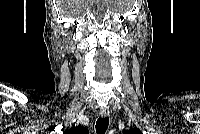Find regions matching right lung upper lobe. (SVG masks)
Returning a JSON list of instances; mask_svg holds the SVG:
<instances>
[{
    "instance_id": "right-lung-upper-lobe-1",
    "label": "right lung upper lobe",
    "mask_w": 200,
    "mask_h": 134,
    "mask_svg": "<svg viewBox=\"0 0 200 134\" xmlns=\"http://www.w3.org/2000/svg\"><path fill=\"white\" fill-rule=\"evenodd\" d=\"M67 134H87V130H85L83 127H74L70 129Z\"/></svg>"
}]
</instances>
